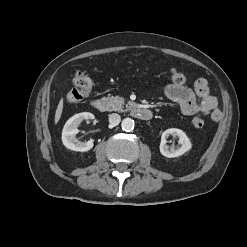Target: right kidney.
Masks as SVG:
<instances>
[{"instance_id":"obj_1","label":"right kidney","mask_w":247,"mask_h":247,"mask_svg":"<svg viewBox=\"0 0 247 247\" xmlns=\"http://www.w3.org/2000/svg\"><path fill=\"white\" fill-rule=\"evenodd\" d=\"M86 119H94V115L89 112H82L72 116L64 125L62 131L63 145L71 150L85 152L93 148V141H78L76 134H78V125Z\"/></svg>"}]
</instances>
